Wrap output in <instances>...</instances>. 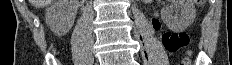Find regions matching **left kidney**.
Segmentation results:
<instances>
[{"mask_svg":"<svg viewBox=\"0 0 232 65\" xmlns=\"http://www.w3.org/2000/svg\"><path fill=\"white\" fill-rule=\"evenodd\" d=\"M181 11L180 16H173V12L169 9L161 11V17L169 29L176 32H181L190 26L195 17L196 9L193 0H177Z\"/></svg>","mask_w":232,"mask_h":65,"instance_id":"left-kidney-1","label":"left kidney"}]
</instances>
